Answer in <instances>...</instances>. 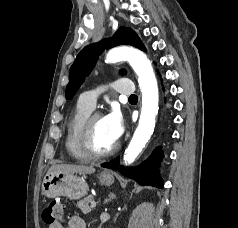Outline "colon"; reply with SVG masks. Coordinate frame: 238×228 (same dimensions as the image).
Segmentation results:
<instances>
[{"label":"colon","mask_w":238,"mask_h":228,"mask_svg":"<svg viewBox=\"0 0 238 228\" xmlns=\"http://www.w3.org/2000/svg\"><path fill=\"white\" fill-rule=\"evenodd\" d=\"M42 219L47 225L64 223L66 220L64 204L60 201H52L43 210Z\"/></svg>","instance_id":"obj_1"}]
</instances>
